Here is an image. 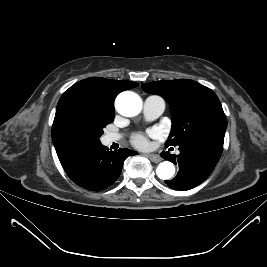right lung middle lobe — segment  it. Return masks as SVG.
<instances>
[{
    "label": "right lung middle lobe",
    "mask_w": 267,
    "mask_h": 267,
    "mask_svg": "<svg viewBox=\"0 0 267 267\" xmlns=\"http://www.w3.org/2000/svg\"><path fill=\"white\" fill-rule=\"evenodd\" d=\"M115 110L106 108L88 96L65 102L56 112L52 136L59 149L71 151L100 143L103 128L113 122Z\"/></svg>",
    "instance_id": "1"
}]
</instances>
